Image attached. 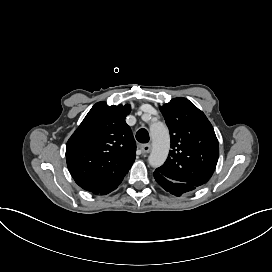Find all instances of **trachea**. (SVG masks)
<instances>
[{
  "instance_id": "3493384b",
  "label": "trachea",
  "mask_w": 272,
  "mask_h": 272,
  "mask_svg": "<svg viewBox=\"0 0 272 272\" xmlns=\"http://www.w3.org/2000/svg\"><path fill=\"white\" fill-rule=\"evenodd\" d=\"M136 139L140 142V143H148L149 142V134L148 131L144 128L140 129L137 133H136Z\"/></svg>"
}]
</instances>
